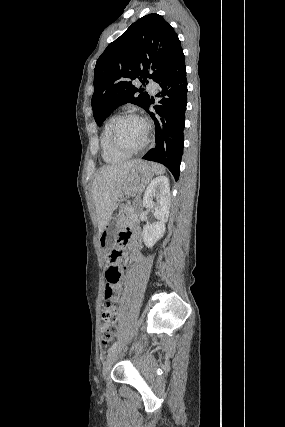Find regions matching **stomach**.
Instances as JSON below:
<instances>
[{
    "mask_svg": "<svg viewBox=\"0 0 285 427\" xmlns=\"http://www.w3.org/2000/svg\"><path fill=\"white\" fill-rule=\"evenodd\" d=\"M153 177V171L151 169L150 164L146 162H139L133 166L130 170L128 178L126 180V184L123 187L121 198L129 197L135 194H139L144 191L147 184ZM117 207L122 209L123 205L120 200H118ZM119 229V222L116 218H110L108 224L105 229L99 236V243L102 249L108 250L113 242V238Z\"/></svg>",
    "mask_w": 285,
    "mask_h": 427,
    "instance_id": "stomach-1",
    "label": "stomach"
}]
</instances>
